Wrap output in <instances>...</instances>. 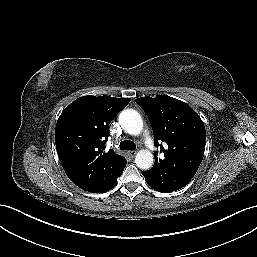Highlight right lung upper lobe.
Masks as SVG:
<instances>
[{"label": "right lung upper lobe", "mask_w": 257, "mask_h": 257, "mask_svg": "<svg viewBox=\"0 0 257 257\" xmlns=\"http://www.w3.org/2000/svg\"><path fill=\"white\" fill-rule=\"evenodd\" d=\"M130 98L83 96L60 115L55 130L56 149L69 179L83 190L109 183L127 161L105 150L111 120Z\"/></svg>", "instance_id": "obj_1"}]
</instances>
